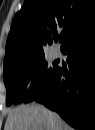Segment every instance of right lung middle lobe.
I'll return each mask as SVG.
<instances>
[{
    "label": "right lung middle lobe",
    "mask_w": 95,
    "mask_h": 130,
    "mask_svg": "<svg viewBox=\"0 0 95 130\" xmlns=\"http://www.w3.org/2000/svg\"><path fill=\"white\" fill-rule=\"evenodd\" d=\"M56 68V66L49 68L45 59L41 58L32 63L3 71L6 104L31 101L44 88ZM31 78H33V82L26 93V85Z\"/></svg>",
    "instance_id": "obj_1"
}]
</instances>
